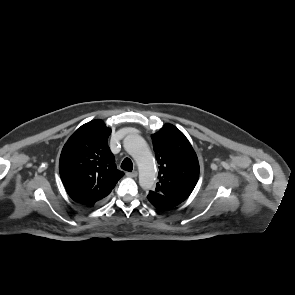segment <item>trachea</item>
Wrapping results in <instances>:
<instances>
[{
  "label": "trachea",
  "mask_w": 295,
  "mask_h": 295,
  "mask_svg": "<svg viewBox=\"0 0 295 295\" xmlns=\"http://www.w3.org/2000/svg\"><path fill=\"white\" fill-rule=\"evenodd\" d=\"M121 168L125 171L131 172L133 170V163L129 158H125L121 163Z\"/></svg>",
  "instance_id": "trachea-1"
}]
</instances>
